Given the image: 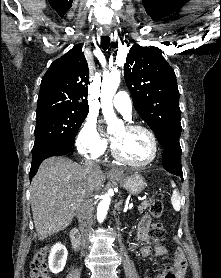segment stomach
<instances>
[{
    "mask_svg": "<svg viewBox=\"0 0 221 278\" xmlns=\"http://www.w3.org/2000/svg\"><path fill=\"white\" fill-rule=\"evenodd\" d=\"M113 180L117 181L125 190L132 195L140 194L146 186L145 179L139 174L124 175L113 177Z\"/></svg>",
    "mask_w": 221,
    "mask_h": 278,
    "instance_id": "0dacf381",
    "label": "stomach"
}]
</instances>
